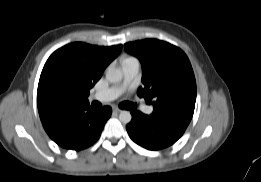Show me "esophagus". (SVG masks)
Wrapping results in <instances>:
<instances>
[{
    "mask_svg": "<svg viewBox=\"0 0 261 182\" xmlns=\"http://www.w3.org/2000/svg\"><path fill=\"white\" fill-rule=\"evenodd\" d=\"M113 111L116 112V113H119V112H121L122 110L119 109V108H117V107H114V108H113Z\"/></svg>",
    "mask_w": 261,
    "mask_h": 182,
    "instance_id": "obj_1",
    "label": "esophagus"
}]
</instances>
